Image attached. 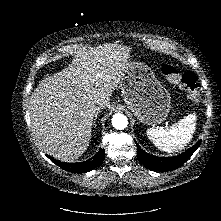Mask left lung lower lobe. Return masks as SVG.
I'll list each match as a JSON object with an SVG mask.
<instances>
[{"label":"left lung lower lobe","instance_id":"obj_1","mask_svg":"<svg viewBox=\"0 0 221 221\" xmlns=\"http://www.w3.org/2000/svg\"><path fill=\"white\" fill-rule=\"evenodd\" d=\"M201 141H198L192 148L188 149L184 153L170 158H160L157 156L150 155L143 151L137 144V155L139 161L148 169L157 170V171H169L176 169L183 165L191 155L196 151V149L201 144Z\"/></svg>","mask_w":221,"mask_h":221}]
</instances>
